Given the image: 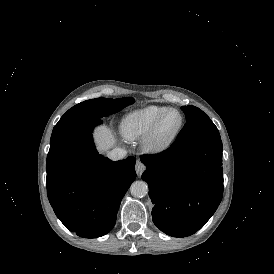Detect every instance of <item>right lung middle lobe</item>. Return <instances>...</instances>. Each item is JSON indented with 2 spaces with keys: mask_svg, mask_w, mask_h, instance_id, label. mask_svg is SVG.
Masks as SVG:
<instances>
[{
  "mask_svg": "<svg viewBox=\"0 0 274 274\" xmlns=\"http://www.w3.org/2000/svg\"><path fill=\"white\" fill-rule=\"evenodd\" d=\"M132 97L120 99L97 98L81 102L69 109L55 125L50 145L66 137L69 133L84 124L120 111L122 108L133 104Z\"/></svg>",
  "mask_w": 274,
  "mask_h": 274,
  "instance_id": "dd1d6c3e",
  "label": "right lung middle lobe"
}]
</instances>
